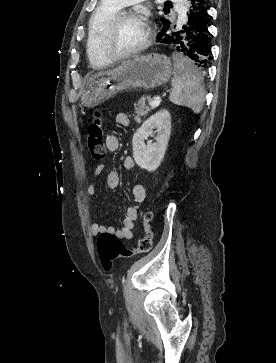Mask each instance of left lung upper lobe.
I'll use <instances>...</instances> for the list:
<instances>
[{
	"label": "left lung upper lobe",
	"mask_w": 276,
	"mask_h": 363,
	"mask_svg": "<svg viewBox=\"0 0 276 363\" xmlns=\"http://www.w3.org/2000/svg\"><path fill=\"white\" fill-rule=\"evenodd\" d=\"M160 20H161L160 28L163 27V26H167L168 24L171 23L169 20H167L165 18H161Z\"/></svg>",
	"instance_id": "1"
}]
</instances>
